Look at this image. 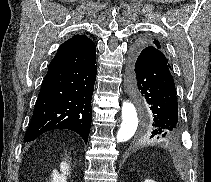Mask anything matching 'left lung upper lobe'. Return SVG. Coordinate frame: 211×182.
Instances as JSON below:
<instances>
[{"label": "left lung upper lobe", "instance_id": "1", "mask_svg": "<svg viewBox=\"0 0 211 182\" xmlns=\"http://www.w3.org/2000/svg\"><path fill=\"white\" fill-rule=\"evenodd\" d=\"M146 42L149 45H151L153 48H155V49L161 51L162 53H164V50L162 49V47H161V45H160L158 40H156V39H146ZM167 61H168V59H167Z\"/></svg>", "mask_w": 211, "mask_h": 182}]
</instances>
